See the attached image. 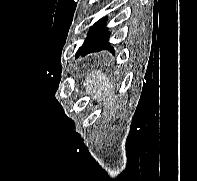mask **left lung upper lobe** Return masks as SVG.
<instances>
[{
  "instance_id": "left-lung-upper-lobe-1",
  "label": "left lung upper lobe",
  "mask_w": 197,
  "mask_h": 181,
  "mask_svg": "<svg viewBox=\"0 0 197 181\" xmlns=\"http://www.w3.org/2000/svg\"><path fill=\"white\" fill-rule=\"evenodd\" d=\"M98 22H99V21H98ZM98 22H96L92 27H90V30H89V32H88V37L85 39L83 45L86 43V41L89 39V37H90L91 34L93 33V31H94V29L96 28ZM83 45H82V46H83ZM82 46L79 48V50L82 48ZM79 50H78V51H79Z\"/></svg>"
}]
</instances>
